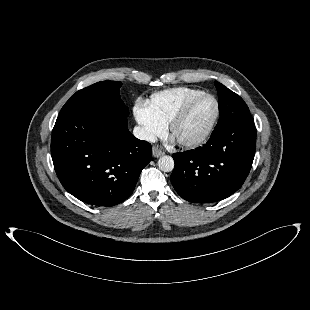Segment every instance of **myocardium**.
Instances as JSON below:
<instances>
[{
  "label": "myocardium",
  "mask_w": 310,
  "mask_h": 310,
  "mask_svg": "<svg viewBox=\"0 0 310 310\" xmlns=\"http://www.w3.org/2000/svg\"><path fill=\"white\" fill-rule=\"evenodd\" d=\"M204 98L212 99L213 102H214V105H215V111H214L213 117L210 120L209 124L207 125L205 130L199 136H197L195 138L188 139V140L178 139L175 136V131H176L177 126L186 118V116L188 115V113L191 110L192 106L196 102H198L199 100L204 99ZM219 116H220V105H219L218 100L213 95H211V94L202 93V94H199V95L189 99L179 109V111L173 116V118L169 122V132H170L171 136L174 137L175 140L182 147L189 148V149L197 148V147L201 146L202 144H204L208 140V138L212 134V132H213V130H214L216 124H217Z\"/></svg>",
  "instance_id": "1"
}]
</instances>
